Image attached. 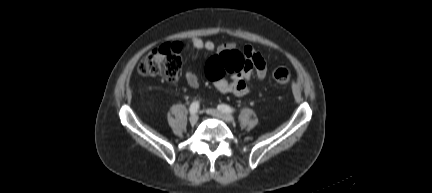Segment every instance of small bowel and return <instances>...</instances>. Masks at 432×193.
Instances as JSON below:
<instances>
[{"mask_svg":"<svg viewBox=\"0 0 432 193\" xmlns=\"http://www.w3.org/2000/svg\"><path fill=\"white\" fill-rule=\"evenodd\" d=\"M189 45L196 50L207 52L217 51L216 55L226 50H239L244 53L247 59V67L243 71L233 75L232 80L228 81L224 77L215 81V88L222 94H233L237 97L246 96L249 93V81L253 75L260 81L266 77L267 67L262 55L254 48L246 46L243 49H238L234 44L228 43L216 47L211 40H203L198 37L190 39ZM182 49L186 48L185 44H181ZM186 83L191 88L199 86V77L192 69H188L185 75Z\"/></svg>","mask_w":432,"mask_h":193,"instance_id":"1","label":"small bowel"}]
</instances>
